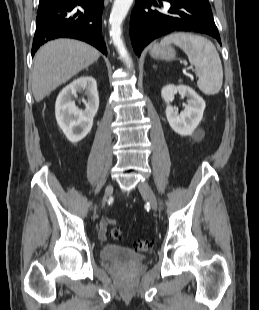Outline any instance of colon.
I'll use <instances>...</instances> for the list:
<instances>
[{
    "label": "colon",
    "instance_id": "5ec220e1",
    "mask_svg": "<svg viewBox=\"0 0 259 310\" xmlns=\"http://www.w3.org/2000/svg\"><path fill=\"white\" fill-rule=\"evenodd\" d=\"M104 222L107 226L113 227L111 229V232H110L111 237L115 240L120 239L122 233H121L120 229L115 227L116 226V220L115 219H107ZM151 245H152V243L150 241L140 240V241H137L135 243L134 250L137 252H145L151 248Z\"/></svg>",
    "mask_w": 259,
    "mask_h": 310
}]
</instances>
